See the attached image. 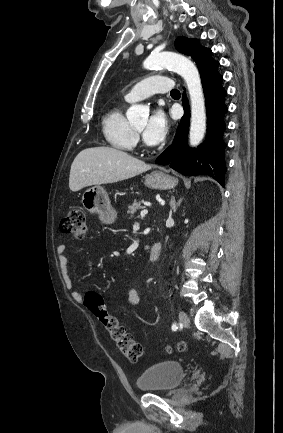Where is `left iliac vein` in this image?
Instances as JSON below:
<instances>
[{
  "instance_id": "1",
  "label": "left iliac vein",
  "mask_w": 283,
  "mask_h": 433,
  "mask_svg": "<svg viewBox=\"0 0 283 433\" xmlns=\"http://www.w3.org/2000/svg\"><path fill=\"white\" fill-rule=\"evenodd\" d=\"M179 320L180 323L184 326V327H189L190 325V320L189 317L187 316V314L183 311H180L179 313Z\"/></svg>"
}]
</instances>
